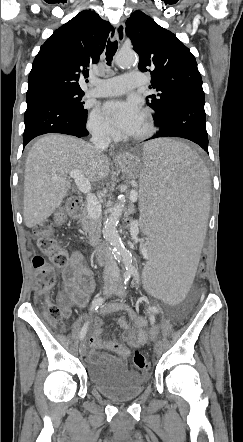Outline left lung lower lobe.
Listing matches in <instances>:
<instances>
[{
	"instance_id": "left-lung-lower-lobe-1",
	"label": "left lung lower lobe",
	"mask_w": 243,
	"mask_h": 442,
	"mask_svg": "<svg viewBox=\"0 0 243 442\" xmlns=\"http://www.w3.org/2000/svg\"><path fill=\"white\" fill-rule=\"evenodd\" d=\"M204 92L187 91L169 103L164 115L154 121L159 132L149 139L181 137L195 142L208 153Z\"/></svg>"
}]
</instances>
